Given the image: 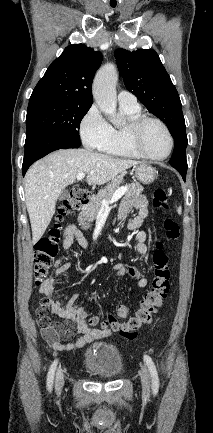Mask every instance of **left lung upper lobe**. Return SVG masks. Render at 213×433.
<instances>
[{
	"instance_id": "left-lung-upper-lobe-1",
	"label": "left lung upper lobe",
	"mask_w": 213,
	"mask_h": 433,
	"mask_svg": "<svg viewBox=\"0 0 213 433\" xmlns=\"http://www.w3.org/2000/svg\"><path fill=\"white\" fill-rule=\"evenodd\" d=\"M115 58L126 88L168 127L174 138L169 161L175 169L187 170L185 120L176 88L154 50L117 49Z\"/></svg>"
}]
</instances>
